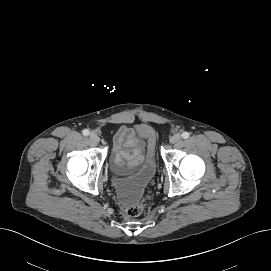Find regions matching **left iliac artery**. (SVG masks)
<instances>
[{
	"instance_id": "obj_1",
	"label": "left iliac artery",
	"mask_w": 271,
	"mask_h": 271,
	"mask_svg": "<svg viewBox=\"0 0 271 271\" xmlns=\"http://www.w3.org/2000/svg\"><path fill=\"white\" fill-rule=\"evenodd\" d=\"M181 136H182V138L187 139L190 136V134L185 131V132L182 133Z\"/></svg>"
}]
</instances>
